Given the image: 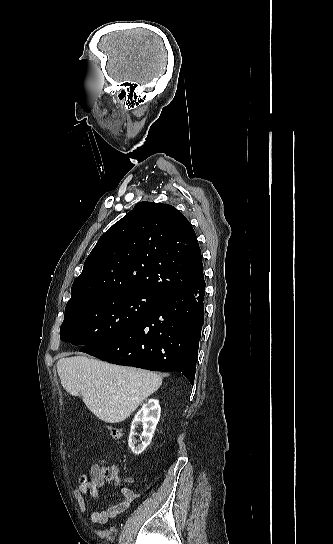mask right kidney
I'll use <instances>...</instances> for the list:
<instances>
[{
  "label": "right kidney",
  "mask_w": 333,
  "mask_h": 544,
  "mask_svg": "<svg viewBox=\"0 0 333 544\" xmlns=\"http://www.w3.org/2000/svg\"><path fill=\"white\" fill-rule=\"evenodd\" d=\"M160 414L161 407L159 405V401L156 399H149L136 413L134 420L131 424V432L128 440L129 447L135 455L141 454L151 443L156 426L160 419ZM140 423L143 426L142 437L144 438V440L140 444H138L135 438V435H137V433L135 432V428L138 427Z\"/></svg>",
  "instance_id": "ca27d5eb"
}]
</instances>
